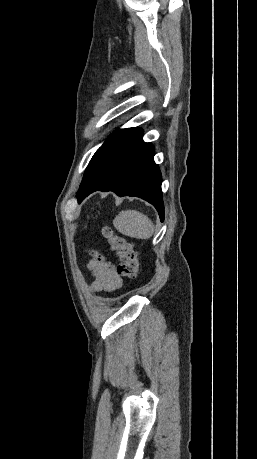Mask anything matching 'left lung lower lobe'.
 <instances>
[{"instance_id": "obj_1", "label": "left lung lower lobe", "mask_w": 257, "mask_h": 459, "mask_svg": "<svg viewBox=\"0 0 257 459\" xmlns=\"http://www.w3.org/2000/svg\"><path fill=\"white\" fill-rule=\"evenodd\" d=\"M99 152L100 167L84 198L98 190L137 196L154 205L163 221L161 174L153 160L154 148L143 142L142 131L137 128L116 131Z\"/></svg>"}]
</instances>
